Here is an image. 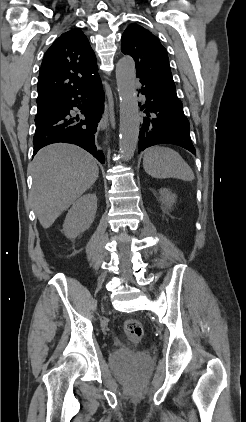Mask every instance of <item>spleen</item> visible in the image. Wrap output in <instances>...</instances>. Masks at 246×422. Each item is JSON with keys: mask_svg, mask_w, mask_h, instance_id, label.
I'll list each match as a JSON object with an SVG mask.
<instances>
[{"mask_svg": "<svg viewBox=\"0 0 246 422\" xmlns=\"http://www.w3.org/2000/svg\"><path fill=\"white\" fill-rule=\"evenodd\" d=\"M143 167L154 178H178L184 181L194 180V173L181 155L164 146H153L144 153Z\"/></svg>", "mask_w": 246, "mask_h": 422, "instance_id": "obj_1", "label": "spleen"}]
</instances>
